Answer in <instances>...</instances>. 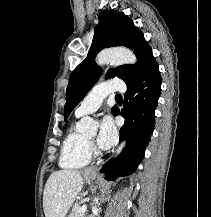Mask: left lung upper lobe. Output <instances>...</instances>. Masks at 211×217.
Wrapping results in <instances>:
<instances>
[{
    "label": "left lung upper lobe",
    "instance_id": "left-lung-upper-lobe-1",
    "mask_svg": "<svg viewBox=\"0 0 211 217\" xmlns=\"http://www.w3.org/2000/svg\"><path fill=\"white\" fill-rule=\"evenodd\" d=\"M116 46H125L132 49L138 61L135 65L126 64L109 69L105 75L106 79L117 76L123 79L125 83H129L157 64L142 32L128 16L123 12L114 10L101 12L99 23L94 28V37L87 57L70 76L66 89L65 119L102 74V69L95 62L96 55L104 48ZM116 108L115 105L111 110L112 113Z\"/></svg>",
    "mask_w": 211,
    "mask_h": 217
}]
</instances>
